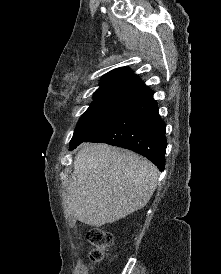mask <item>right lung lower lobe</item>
I'll use <instances>...</instances> for the list:
<instances>
[{
  "instance_id": "1",
  "label": "right lung lower lobe",
  "mask_w": 221,
  "mask_h": 274,
  "mask_svg": "<svg viewBox=\"0 0 221 274\" xmlns=\"http://www.w3.org/2000/svg\"><path fill=\"white\" fill-rule=\"evenodd\" d=\"M165 131L166 125L158 113L153 91H150L133 101L113 121L84 142L107 143L132 150L163 171L167 147Z\"/></svg>"
}]
</instances>
